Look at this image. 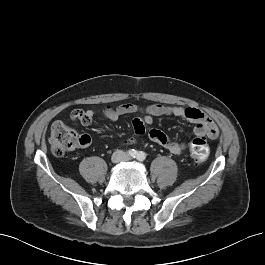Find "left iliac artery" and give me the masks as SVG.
Returning a JSON list of instances; mask_svg holds the SVG:
<instances>
[{
  "label": "left iliac artery",
  "mask_w": 265,
  "mask_h": 265,
  "mask_svg": "<svg viewBox=\"0 0 265 265\" xmlns=\"http://www.w3.org/2000/svg\"><path fill=\"white\" fill-rule=\"evenodd\" d=\"M145 158H146V155H145L144 152L141 151V152L138 153V155H137V159H138L139 161H144Z\"/></svg>",
  "instance_id": "1"
}]
</instances>
